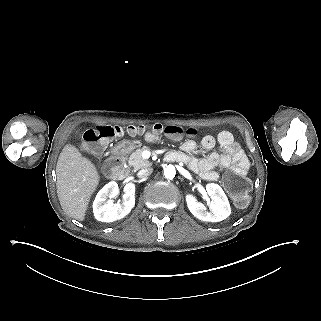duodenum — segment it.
Returning a JSON list of instances; mask_svg holds the SVG:
<instances>
[{
    "label": "duodenum",
    "mask_w": 321,
    "mask_h": 321,
    "mask_svg": "<svg viewBox=\"0 0 321 321\" xmlns=\"http://www.w3.org/2000/svg\"><path fill=\"white\" fill-rule=\"evenodd\" d=\"M167 162H174L179 160V156L176 153H168L165 156ZM124 159L121 152L115 149L108 157L104 164V172L112 179H119L124 173Z\"/></svg>",
    "instance_id": "duodenum-1"
}]
</instances>
